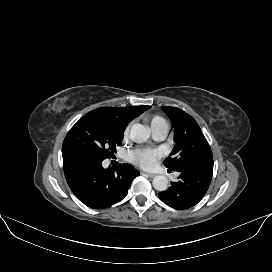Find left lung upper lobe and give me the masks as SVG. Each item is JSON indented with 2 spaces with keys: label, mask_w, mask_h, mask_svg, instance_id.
I'll use <instances>...</instances> for the list:
<instances>
[{
  "label": "left lung upper lobe",
  "mask_w": 272,
  "mask_h": 272,
  "mask_svg": "<svg viewBox=\"0 0 272 272\" xmlns=\"http://www.w3.org/2000/svg\"><path fill=\"white\" fill-rule=\"evenodd\" d=\"M175 128V146L164 165L174 171L189 163L213 160L212 151L197 122L186 112L163 106Z\"/></svg>",
  "instance_id": "1"
}]
</instances>
